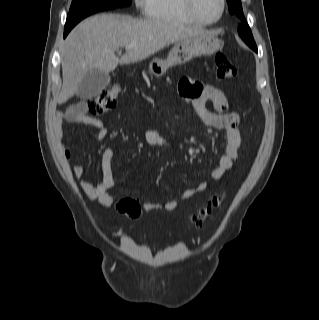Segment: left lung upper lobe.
Instances as JSON below:
<instances>
[{
    "mask_svg": "<svg viewBox=\"0 0 319 320\" xmlns=\"http://www.w3.org/2000/svg\"><path fill=\"white\" fill-rule=\"evenodd\" d=\"M227 3L229 5L230 13L239 17L243 23L238 26L239 35L250 48H252L254 51L257 50L252 32L244 18L241 0H227Z\"/></svg>",
    "mask_w": 319,
    "mask_h": 320,
    "instance_id": "5c2ea615",
    "label": "left lung upper lobe"
}]
</instances>
